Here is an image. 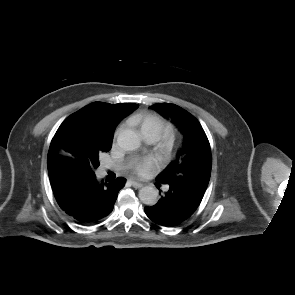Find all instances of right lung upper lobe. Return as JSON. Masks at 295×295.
<instances>
[{"instance_id":"obj_1","label":"right lung upper lobe","mask_w":295,"mask_h":295,"mask_svg":"<svg viewBox=\"0 0 295 295\" xmlns=\"http://www.w3.org/2000/svg\"><path fill=\"white\" fill-rule=\"evenodd\" d=\"M136 104L93 102L70 115L58 128L48 153V171L59 165L80 168L88 160L90 147L113 139L120 120Z\"/></svg>"}]
</instances>
